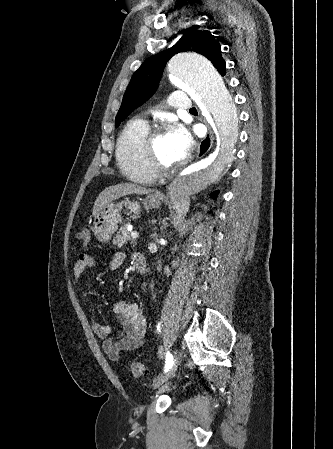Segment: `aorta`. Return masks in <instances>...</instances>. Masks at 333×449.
<instances>
[{
  "instance_id": "obj_1",
  "label": "aorta",
  "mask_w": 333,
  "mask_h": 449,
  "mask_svg": "<svg viewBox=\"0 0 333 449\" xmlns=\"http://www.w3.org/2000/svg\"><path fill=\"white\" fill-rule=\"evenodd\" d=\"M167 68L171 83L200 102L203 114L217 127L222 138L217 152L188 167L169 184L172 207L181 217L189 210L191 196L218 183L233 160L237 116L227 86L207 58L196 52H180L169 59Z\"/></svg>"
}]
</instances>
